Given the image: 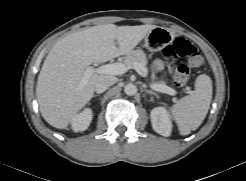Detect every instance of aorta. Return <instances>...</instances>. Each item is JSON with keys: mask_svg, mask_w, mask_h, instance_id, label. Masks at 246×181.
<instances>
[{"mask_svg": "<svg viewBox=\"0 0 246 181\" xmlns=\"http://www.w3.org/2000/svg\"><path fill=\"white\" fill-rule=\"evenodd\" d=\"M124 92H125V94L132 96V95L136 94L137 88L134 84L128 83L124 86Z\"/></svg>", "mask_w": 246, "mask_h": 181, "instance_id": "762f6f07", "label": "aorta"}]
</instances>
